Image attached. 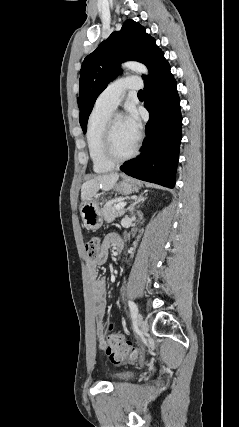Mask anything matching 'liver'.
Instances as JSON below:
<instances>
[{
	"mask_svg": "<svg viewBox=\"0 0 239 427\" xmlns=\"http://www.w3.org/2000/svg\"><path fill=\"white\" fill-rule=\"evenodd\" d=\"M119 178L118 173L104 174L94 177L83 183L81 187V200L83 202L91 200L99 189L111 190Z\"/></svg>",
	"mask_w": 239,
	"mask_h": 427,
	"instance_id": "obj_1",
	"label": "liver"
}]
</instances>
